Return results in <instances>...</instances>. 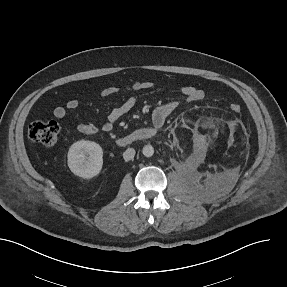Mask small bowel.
I'll list each match as a JSON object with an SVG mask.
<instances>
[{"label":"small bowel","mask_w":287,"mask_h":287,"mask_svg":"<svg viewBox=\"0 0 287 287\" xmlns=\"http://www.w3.org/2000/svg\"><path fill=\"white\" fill-rule=\"evenodd\" d=\"M151 87V82L138 80L123 88L115 86L104 88L101 91V95L105 97L115 95L122 91L128 93L129 96L109 112L105 122L100 125L90 122H82L77 126L78 131L87 135L95 134L100 130L104 132L111 131L115 123L131 112L136 106L138 99L135 93L148 90ZM181 93L182 98L170 100L154 109L152 113V123L154 128H162L169 116L177 109L181 102H198L205 96L202 89L192 85L184 86L181 89ZM77 107L78 101L76 99H70L65 105L57 106L54 109V116L58 119H64L69 111L75 110Z\"/></svg>","instance_id":"c3829d8e"}]
</instances>
